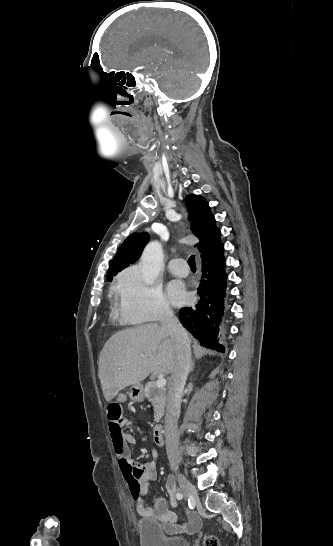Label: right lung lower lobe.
<instances>
[{
	"label": "right lung lower lobe",
	"mask_w": 333,
	"mask_h": 546,
	"mask_svg": "<svg viewBox=\"0 0 333 546\" xmlns=\"http://www.w3.org/2000/svg\"><path fill=\"white\" fill-rule=\"evenodd\" d=\"M224 248L221 244L208 257L202 258V277L198 286L200 300L194 307L179 311V320L201 345L224 351L217 336L224 311L226 297Z\"/></svg>",
	"instance_id": "right-lung-lower-lobe-1"
}]
</instances>
